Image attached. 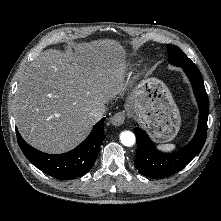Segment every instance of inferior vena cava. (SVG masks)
Returning a JSON list of instances; mask_svg holds the SVG:
<instances>
[{
    "instance_id": "inferior-vena-cava-1",
    "label": "inferior vena cava",
    "mask_w": 221,
    "mask_h": 221,
    "mask_svg": "<svg viewBox=\"0 0 221 221\" xmlns=\"http://www.w3.org/2000/svg\"><path fill=\"white\" fill-rule=\"evenodd\" d=\"M105 111H106V106L105 105L98 106V107H96L95 109L92 110L90 115L95 121H99L103 117Z\"/></svg>"
}]
</instances>
